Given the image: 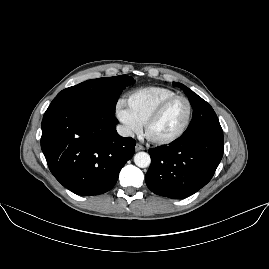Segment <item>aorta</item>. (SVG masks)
I'll use <instances>...</instances> for the list:
<instances>
[{
  "label": "aorta",
  "instance_id": "1",
  "mask_svg": "<svg viewBox=\"0 0 269 269\" xmlns=\"http://www.w3.org/2000/svg\"><path fill=\"white\" fill-rule=\"evenodd\" d=\"M150 155L146 152H138L134 156V163L139 168H146L150 165Z\"/></svg>",
  "mask_w": 269,
  "mask_h": 269
}]
</instances>
